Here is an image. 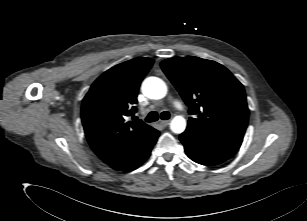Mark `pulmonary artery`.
Segmentation results:
<instances>
[{"label":"pulmonary artery","instance_id":"obj_1","mask_svg":"<svg viewBox=\"0 0 307 221\" xmlns=\"http://www.w3.org/2000/svg\"><path fill=\"white\" fill-rule=\"evenodd\" d=\"M173 105H174L176 108H178V109L182 110V105L180 104V102H179V101L174 100V101H173Z\"/></svg>","mask_w":307,"mask_h":221}]
</instances>
